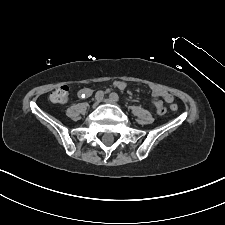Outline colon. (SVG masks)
Returning a JSON list of instances; mask_svg holds the SVG:
<instances>
[{
	"instance_id": "obj_1",
	"label": "colon",
	"mask_w": 225,
	"mask_h": 225,
	"mask_svg": "<svg viewBox=\"0 0 225 225\" xmlns=\"http://www.w3.org/2000/svg\"><path fill=\"white\" fill-rule=\"evenodd\" d=\"M69 99V87L66 84H61L55 88V90L50 94V100L53 103H65ZM170 109L176 111L178 105L176 103L170 104ZM167 112L165 106H159L157 108V113L159 115H164Z\"/></svg>"
}]
</instances>
